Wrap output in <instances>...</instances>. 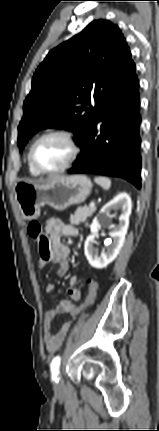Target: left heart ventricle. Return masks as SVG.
Instances as JSON below:
<instances>
[{
	"instance_id": "1",
	"label": "left heart ventricle",
	"mask_w": 159,
	"mask_h": 431,
	"mask_svg": "<svg viewBox=\"0 0 159 431\" xmlns=\"http://www.w3.org/2000/svg\"><path fill=\"white\" fill-rule=\"evenodd\" d=\"M71 155L68 142L62 137H49L35 147L34 159L37 165L46 170H53L64 165Z\"/></svg>"
}]
</instances>
